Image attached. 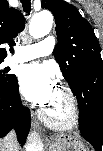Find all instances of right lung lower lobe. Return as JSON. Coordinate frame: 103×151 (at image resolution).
<instances>
[{"mask_svg":"<svg viewBox=\"0 0 103 151\" xmlns=\"http://www.w3.org/2000/svg\"><path fill=\"white\" fill-rule=\"evenodd\" d=\"M12 128L24 145L30 129V111L21 103L18 86L13 90L0 89V137Z\"/></svg>","mask_w":103,"mask_h":151,"instance_id":"obj_1","label":"right lung lower lobe"}]
</instances>
